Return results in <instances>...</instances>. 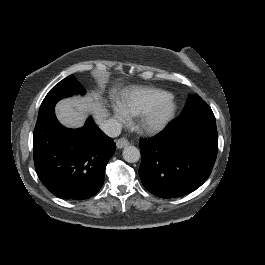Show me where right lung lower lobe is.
<instances>
[{
    "label": "right lung lower lobe",
    "mask_w": 265,
    "mask_h": 265,
    "mask_svg": "<svg viewBox=\"0 0 265 265\" xmlns=\"http://www.w3.org/2000/svg\"><path fill=\"white\" fill-rule=\"evenodd\" d=\"M115 150L113 139L92 118L80 129L63 127L54 108L37 118L33 135L35 169L56 197L83 200L95 195Z\"/></svg>",
    "instance_id": "obj_1"
}]
</instances>
